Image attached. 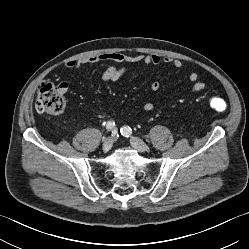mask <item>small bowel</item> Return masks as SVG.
<instances>
[{
  "mask_svg": "<svg viewBox=\"0 0 249 249\" xmlns=\"http://www.w3.org/2000/svg\"><path fill=\"white\" fill-rule=\"evenodd\" d=\"M101 62L111 63L107 66L100 75L102 81H117L123 77L128 69L126 66L118 67L121 65L130 64H144V65H159V64H169L176 70H182L184 68V63L180 59H175L171 57H160L155 54H125L119 51H109L101 54H97L90 57H83L79 60H71L66 63V67L69 69H81L85 66L94 65ZM188 82L190 83V91L192 93L202 92L206 89V84L199 81V74L196 71H192L188 75ZM63 93L68 90V84L66 82L61 83ZM150 89L153 92H157L160 89V83L154 81L150 85ZM144 111H152L154 109V103L146 102L143 105Z\"/></svg>",
  "mask_w": 249,
  "mask_h": 249,
  "instance_id": "1",
  "label": "small bowel"
}]
</instances>
